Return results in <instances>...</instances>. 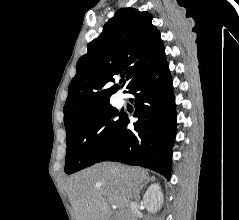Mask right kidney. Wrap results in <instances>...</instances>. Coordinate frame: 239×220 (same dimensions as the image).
I'll return each instance as SVG.
<instances>
[{"label":"right kidney","mask_w":239,"mask_h":220,"mask_svg":"<svg viewBox=\"0 0 239 220\" xmlns=\"http://www.w3.org/2000/svg\"><path fill=\"white\" fill-rule=\"evenodd\" d=\"M143 201L148 211L155 213L164 203L163 193L159 183L152 184L143 196Z\"/></svg>","instance_id":"right-kidney-1"}]
</instances>
